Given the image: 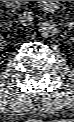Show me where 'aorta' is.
Wrapping results in <instances>:
<instances>
[{"mask_svg":"<svg viewBox=\"0 0 74 122\" xmlns=\"http://www.w3.org/2000/svg\"><path fill=\"white\" fill-rule=\"evenodd\" d=\"M57 32V25L53 20H46L40 26V33L43 37H52Z\"/></svg>","mask_w":74,"mask_h":122,"instance_id":"obj_1","label":"aorta"}]
</instances>
